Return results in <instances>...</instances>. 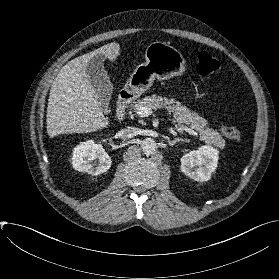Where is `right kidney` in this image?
Returning a JSON list of instances; mask_svg holds the SVG:
<instances>
[{"instance_id": "right-kidney-1", "label": "right kidney", "mask_w": 279, "mask_h": 279, "mask_svg": "<svg viewBox=\"0 0 279 279\" xmlns=\"http://www.w3.org/2000/svg\"><path fill=\"white\" fill-rule=\"evenodd\" d=\"M98 160V164L96 163ZM111 158L101 144L94 140L81 142L73 150L72 164L80 172L97 176L111 167Z\"/></svg>"}]
</instances>
